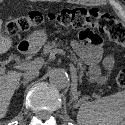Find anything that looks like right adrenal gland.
<instances>
[{
  "instance_id": "obj_1",
  "label": "right adrenal gland",
  "mask_w": 125,
  "mask_h": 125,
  "mask_svg": "<svg viewBox=\"0 0 125 125\" xmlns=\"http://www.w3.org/2000/svg\"><path fill=\"white\" fill-rule=\"evenodd\" d=\"M29 82V80H23V81H21V82H19L18 83V85H17V88H16V90H18L19 89V87L21 86V84H23V87H25V85L27 84Z\"/></svg>"
}]
</instances>
